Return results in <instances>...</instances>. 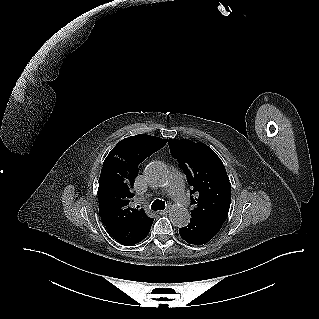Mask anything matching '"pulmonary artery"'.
Returning <instances> with one entry per match:
<instances>
[{
	"label": "pulmonary artery",
	"instance_id": "1",
	"mask_svg": "<svg viewBox=\"0 0 319 319\" xmlns=\"http://www.w3.org/2000/svg\"><path fill=\"white\" fill-rule=\"evenodd\" d=\"M167 191L175 202L182 206L189 204V199L184 192L183 178L180 174H174Z\"/></svg>",
	"mask_w": 319,
	"mask_h": 319
}]
</instances>
